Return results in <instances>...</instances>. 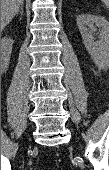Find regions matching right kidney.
Masks as SVG:
<instances>
[{
  "label": "right kidney",
  "mask_w": 109,
  "mask_h": 170,
  "mask_svg": "<svg viewBox=\"0 0 109 170\" xmlns=\"http://www.w3.org/2000/svg\"><path fill=\"white\" fill-rule=\"evenodd\" d=\"M13 42L14 41L9 37H4L1 39V69L2 71H5L9 66Z\"/></svg>",
  "instance_id": "right-kidney-1"
}]
</instances>
